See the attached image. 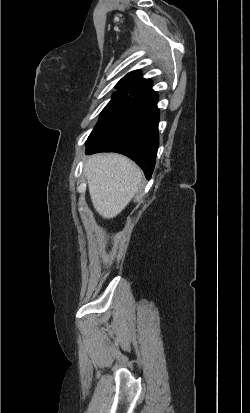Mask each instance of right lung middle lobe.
<instances>
[{"instance_id":"dd1d6c3e","label":"right lung middle lobe","mask_w":250,"mask_h":413,"mask_svg":"<svg viewBox=\"0 0 250 413\" xmlns=\"http://www.w3.org/2000/svg\"><path fill=\"white\" fill-rule=\"evenodd\" d=\"M136 96L132 94L114 93L111 101L103 109L99 121L87 139L90 144L105 134L120 119Z\"/></svg>"}]
</instances>
